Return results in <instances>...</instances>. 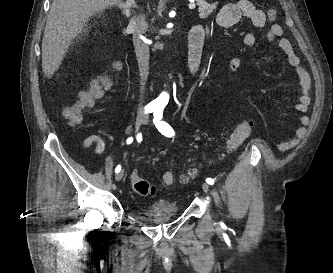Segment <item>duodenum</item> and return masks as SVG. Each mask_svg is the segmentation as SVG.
I'll list each match as a JSON object with an SVG mask.
<instances>
[{
    "label": "duodenum",
    "instance_id": "obj_1",
    "mask_svg": "<svg viewBox=\"0 0 333 273\" xmlns=\"http://www.w3.org/2000/svg\"><path fill=\"white\" fill-rule=\"evenodd\" d=\"M205 40V31L201 25L195 26L189 37V51L187 70L191 75H196L199 72L202 59V51ZM142 47V45H140Z\"/></svg>",
    "mask_w": 333,
    "mask_h": 273
}]
</instances>
